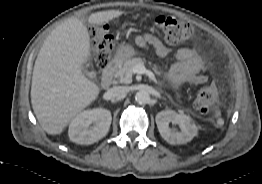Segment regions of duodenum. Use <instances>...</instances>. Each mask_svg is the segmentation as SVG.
Instances as JSON below:
<instances>
[{
    "label": "duodenum",
    "mask_w": 262,
    "mask_h": 184,
    "mask_svg": "<svg viewBox=\"0 0 262 184\" xmlns=\"http://www.w3.org/2000/svg\"><path fill=\"white\" fill-rule=\"evenodd\" d=\"M120 64L119 58H114L109 64L104 68L103 75L101 79V85L104 89H109L113 83V73L115 69Z\"/></svg>",
    "instance_id": "duodenum-1"
}]
</instances>
